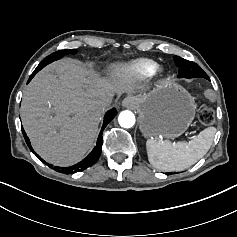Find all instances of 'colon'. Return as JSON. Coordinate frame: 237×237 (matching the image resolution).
<instances>
[{"mask_svg": "<svg viewBox=\"0 0 237 237\" xmlns=\"http://www.w3.org/2000/svg\"><path fill=\"white\" fill-rule=\"evenodd\" d=\"M205 97L211 101H215V93L212 90H207L205 92ZM199 120L205 126H210L215 121V114L211 108H204L199 113Z\"/></svg>", "mask_w": 237, "mask_h": 237, "instance_id": "1", "label": "colon"}]
</instances>
